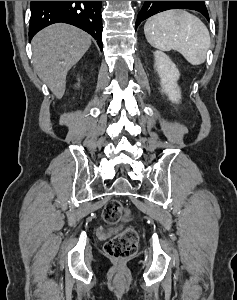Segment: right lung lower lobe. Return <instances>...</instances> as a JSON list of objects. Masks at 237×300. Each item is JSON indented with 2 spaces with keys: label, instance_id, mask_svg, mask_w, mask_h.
<instances>
[{
  "label": "right lung lower lobe",
  "instance_id": "1",
  "mask_svg": "<svg viewBox=\"0 0 237 300\" xmlns=\"http://www.w3.org/2000/svg\"><path fill=\"white\" fill-rule=\"evenodd\" d=\"M102 1H31L29 39L58 22L68 23L92 35L102 49Z\"/></svg>",
  "mask_w": 237,
  "mask_h": 300
}]
</instances>
